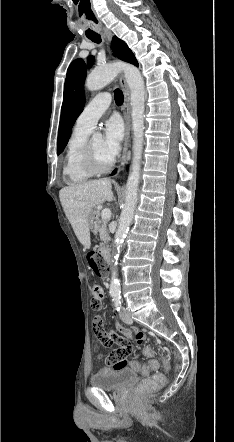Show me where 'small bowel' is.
Here are the masks:
<instances>
[{"instance_id": "obj_1", "label": "small bowel", "mask_w": 234, "mask_h": 442, "mask_svg": "<svg viewBox=\"0 0 234 442\" xmlns=\"http://www.w3.org/2000/svg\"><path fill=\"white\" fill-rule=\"evenodd\" d=\"M102 289V288H101ZM103 291V289H102ZM102 317L97 315L95 320H93V331L96 333L95 341L97 343H102V347L104 349H108L112 343H118L122 349L131 348L130 338H135L137 343H142L144 341V334L142 332H133L131 329L125 327L120 322L116 323V329L119 333H121L124 338H120V334L115 332L113 335L111 332H108L107 329L103 328V324L101 322ZM109 359V358H108ZM127 367V366H125Z\"/></svg>"}]
</instances>
